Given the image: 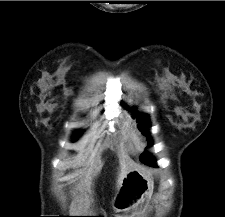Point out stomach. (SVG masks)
I'll use <instances>...</instances> for the list:
<instances>
[{
	"mask_svg": "<svg viewBox=\"0 0 225 217\" xmlns=\"http://www.w3.org/2000/svg\"><path fill=\"white\" fill-rule=\"evenodd\" d=\"M149 184V179L143 171L139 169L129 170L123 179L121 188H134L135 186H145Z\"/></svg>",
	"mask_w": 225,
	"mask_h": 217,
	"instance_id": "0dacf381",
	"label": "stomach"
}]
</instances>
